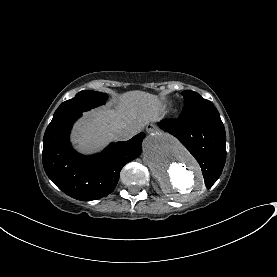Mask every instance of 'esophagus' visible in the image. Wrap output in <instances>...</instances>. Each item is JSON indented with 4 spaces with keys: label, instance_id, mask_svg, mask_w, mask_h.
<instances>
[{
    "label": "esophagus",
    "instance_id": "1",
    "mask_svg": "<svg viewBox=\"0 0 277 277\" xmlns=\"http://www.w3.org/2000/svg\"><path fill=\"white\" fill-rule=\"evenodd\" d=\"M152 130V126L149 124L147 125V131L150 132Z\"/></svg>",
    "mask_w": 277,
    "mask_h": 277
}]
</instances>
